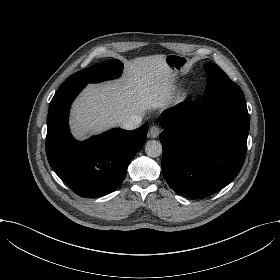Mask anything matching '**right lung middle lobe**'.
<instances>
[{"instance_id":"right-lung-middle-lobe-1","label":"right lung middle lobe","mask_w":280,"mask_h":280,"mask_svg":"<svg viewBox=\"0 0 280 280\" xmlns=\"http://www.w3.org/2000/svg\"><path fill=\"white\" fill-rule=\"evenodd\" d=\"M122 70L121 61L112 59L79 71L68 77L65 82L98 83L119 77Z\"/></svg>"}]
</instances>
